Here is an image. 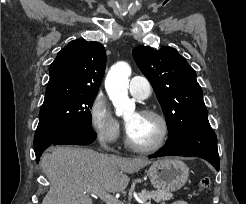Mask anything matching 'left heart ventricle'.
<instances>
[{
  "mask_svg": "<svg viewBox=\"0 0 246 204\" xmlns=\"http://www.w3.org/2000/svg\"><path fill=\"white\" fill-rule=\"evenodd\" d=\"M135 118L133 128L128 132L131 140L138 145H150L154 143L160 134L159 122L149 116L131 113L127 116V121Z\"/></svg>",
  "mask_w": 246,
  "mask_h": 204,
  "instance_id": "b2bd125f",
  "label": "left heart ventricle"
}]
</instances>
